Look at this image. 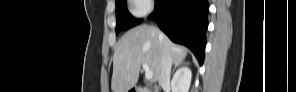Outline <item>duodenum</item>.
<instances>
[{
    "label": "duodenum",
    "instance_id": "410a0bca",
    "mask_svg": "<svg viewBox=\"0 0 296 92\" xmlns=\"http://www.w3.org/2000/svg\"><path fill=\"white\" fill-rule=\"evenodd\" d=\"M150 91H151L150 89L137 86V87L131 88L129 92H150Z\"/></svg>",
    "mask_w": 296,
    "mask_h": 92
}]
</instances>
